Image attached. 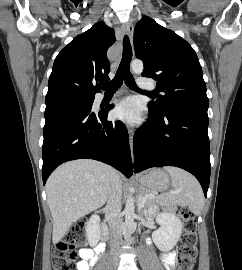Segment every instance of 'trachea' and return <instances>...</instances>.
I'll return each mask as SVG.
<instances>
[{
	"label": "trachea",
	"mask_w": 242,
	"mask_h": 270,
	"mask_svg": "<svg viewBox=\"0 0 242 270\" xmlns=\"http://www.w3.org/2000/svg\"><path fill=\"white\" fill-rule=\"evenodd\" d=\"M131 59H132V48L128 36H125L123 39V56L119 68L116 72V75L113 78V80L110 81L109 83H104L100 85V88L105 90V92H115L118 88H120L123 80H125V83L131 89L139 92L149 93L146 91H142L137 87L134 78L130 73Z\"/></svg>",
	"instance_id": "obj_1"
}]
</instances>
